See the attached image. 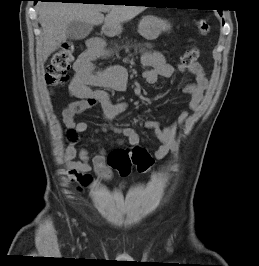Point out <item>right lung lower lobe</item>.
Masks as SVG:
<instances>
[{"label": "right lung lower lobe", "instance_id": "right-lung-lower-lobe-1", "mask_svg": "<svg viewBox=\"0 0 259 266\" xmlns=\"http://www.w3.org/2000/svg\"><path fill=\"white\" fill-rule=\"evenodd\" d=\"M35 2V4L38 2V1H61L62 3H64L65 1H70V0H33ZM83 3H86V2H83Z\"/></svg>", "mask_w": 259, "mask_h": 266}]
</instances>
